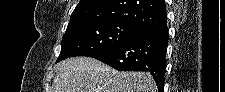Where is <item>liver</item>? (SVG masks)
<instances>
[{
	"mask_svg": "<svg viewBox=\"0 0 225 92\" xmlns=\"http://www.w3.org/2000/svg\"><path fill=\"white\" fill-rule=\"evenodd\" d=\"M53 92H157L149 72H119L91 57L58 63Z\"/></svg>",
	"mask_w": 225,
	"mask_h": 92,
	"instance_id": "liver-1",
	"label": "liver"
}]
</instances>
